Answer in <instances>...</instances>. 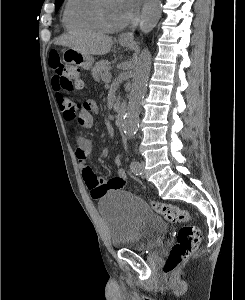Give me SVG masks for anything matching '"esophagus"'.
<instances>
[{"mask_svg":"<svg viewBox=\"0 0 245 300\" xmlns=\"http://www.w3.org/2000/svg\"><path fill=\"white\" fill-rule=\"evenodd\" d=\"M149 0H144L146 4ZM137 22L130 28L129 31L123 32L119 35L118 40L121 42H131L134 40V31L137 27Z\"/></svg>","mask_w":245,"mask_h":300,"instance_id":"obj_1","label":"esophagus"}]
</instances>
